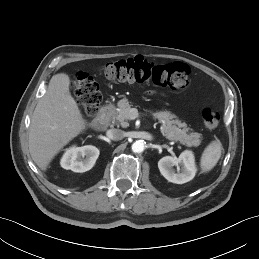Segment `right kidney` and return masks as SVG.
<instances>
[{
  "instance_id": "right-kidney-1",
  "label": "right kidney",
  "mask_w": 259,
  "mask_h": 259,
  "mask_svg": "<svg viewBox=\"0 0 259 259\" xmlns=\"http://www.w3.org/2000/svg\"><path fill=\"white\" fill-rule=\"evenodd\" d=\"M99 156V150L95 146L71 147L63 155L61 166L74 172H86L90 170Z\"/></svg>"
}]
</instances>
